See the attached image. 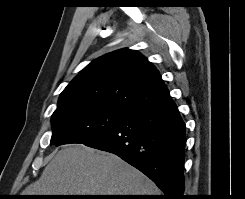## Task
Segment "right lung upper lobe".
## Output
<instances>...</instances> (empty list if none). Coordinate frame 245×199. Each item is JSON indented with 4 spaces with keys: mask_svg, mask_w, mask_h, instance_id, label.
I'll return each instance as SVG.
<instances>
[{
    "mask_svg": "<svg viewBox=\"0 0 245 199\" xmlns=\"http://www.w3.org/2000/svg\"><path fill=\"white\" fill-rule=\"evenodd\" d=\"M169 96L159 72L145 57L121 49L87 65L62 91L56 110L96 104L129 113Z\"/></svg>",
    "mask_w": 245,
    "mask_h": 199,
    "instance_id": "obj_1",
    "label": "right lung upper lobe"
}]
</instances>
